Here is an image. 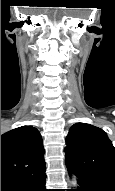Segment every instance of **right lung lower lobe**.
<instances>
[{
  "label": "right lung lower lobe",
  "mask_w": 115,
  "mask_h": 191,
  "mask_svg": "<svg viewBox=\"0 0 115 191\" xmlns=\"http://www.w3.org/2000/svg\"><path fill=\"white\" fill-rule=\"evenodd\" d=\"M45 180V171L22 179H2L1 191H46Z\"/></svg>",
  "instance_id": "1"
}]
</instances>
